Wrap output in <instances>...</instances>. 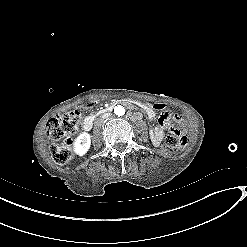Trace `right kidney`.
Listing matches in <instances>:
<instances>
[{"label": "right kidney", "mask_w": 247, "mask_h": 247, "mask_svg": "<svg viewBox=\"0 0 247 247\" xmlns=\"http://www.w3.org/2000/svg\"><path fill=\"white\" fill-rule=\"evenodd\" d=\"M91 136L88 132H81L73 143V151L79 157H83L90 149Z\"/></svg>", "instance_id": "ca27d5eb"}]
</instances>
